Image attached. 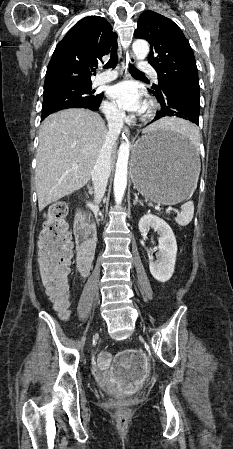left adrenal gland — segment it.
<instances>
[{"label": "left adrenal gland", "instance_id": "a2214340", "mask_svg": "<svg viewBox=\"0 0 233 449\" xmlns=\"http://www.w3.org/2000/svg\"><path fill=\"white\" fill-rule=\"evenodd\" d=\"M134 196H135V199L133 201V205H137L139 203L141 206H144L143 202L141 200H138V195L134 194Z\"/></svg>", "mask_w": 233, "mask_h": 449}]
</instances>
